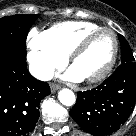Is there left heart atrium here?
Listing matches in <instances>:
<instances>
[{"label": "left heart atrium", "instance_id": "left-heart-atrium-1", "mask_svg": "<svg viewBox=\"0 0 136 136\" xmlns=\"http://www.w3.org/2000/svg\"><path fill=\"white\" fill-rule=\"evenodd\" d=\"M65 77L72 81H79L82 79V77L73 68L68 70Z\"/></svg>", "mask_w": 136, "mask_h": 136}]
</instances>
